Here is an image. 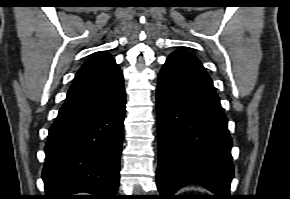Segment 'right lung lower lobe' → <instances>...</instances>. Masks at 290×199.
<instances>
[{"mask_svg": "<svg viewBox=\"0 0 290 199\" xmlns=\"http://www.w3.org/2000/svg\"><path fill=\"white\" fill-rule=\"evenodd\" d=\"M123 78L97 93L65 101L49 129L42 173L43 199H116L122 125Z\"/></svg>", "mask_w": 290, "mask_h": 199, "instance_id": "1", "label": "right lung lower lobe"}]
</instances>
